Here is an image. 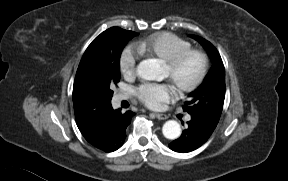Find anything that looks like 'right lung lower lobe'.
I'll return each instance as SVG.
<instances>
[{"mask_svg":"<svg viewBox=\"0 0 288 181\" xmlns=\"http://www.w3.org/2000/svg\"><path fill=\"white\" fill-rule=\"evenodd\" d=\"M135 113L126 111L121 113V109L113 110L112 106L107 117V135L104 142L97 148L105 152H112L119 149L125 140V130L130 124V119Z\"/></svg>","mask_w":288,"mask_h":181,"instance_id":"1","label":"right lung lower lobe"}]
</instances>
